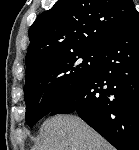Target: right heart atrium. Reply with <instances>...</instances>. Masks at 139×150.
<instances>
[{
  "label": "right heart atrium",
  "mask_w": 139,
  "mask_h": 150,
  "mask_svg": "<svg viewBox=\"0 0 139 150\" xmlns=\"http://www.w3.org/2000/svg\"><path fill=\"white\" fill-rule=\"evenodd\" d=\"M58 89H59L58 85H55L53 90H54V92H56V91H58Z\"/></svg>",
  "instance_id": "obj_1"
}]
</instances>
